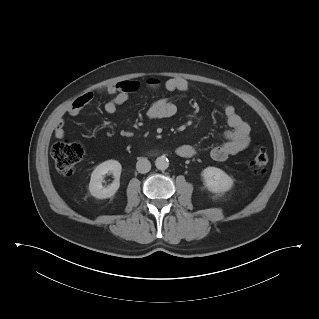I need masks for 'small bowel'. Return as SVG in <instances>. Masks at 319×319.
<instances>
[{"mask_svg": "<svg viewBox=\"0 0 319 319\" xmlns=\"http://www.w3.org/2000/svg\"><path fill=\"white\" fill-rule=\"evenodd\" d=\"M132 83L121 81L110 84L103 89V92L110 95L111 99L104 105V110L108 114H113L118 107L126 103L132 92L127 90V86ZM164 89L170 92H188L190 85L188 81L181 77H174L167 80ZM94 99L92 92H85L76 97L67 107L66 113L70 116L79 115L82 110L88 106ZM229 130L225 132L226 141L211 149V158L215 161H225L230 156L246 149L251 142L250 125L244 121L237 113L236 109L230 104H224L222 107ZM177 112V107L168 98H160L151 104L147 109V117L150 120H163L173 117ZM54 136L57 139L65 137V129L62 123L54 129ZM176 152L184 158H191L196 155V149L190 144H181Z\"/></svg>", "mask_w": 319, "mask_h": 319, "instance_id": "1", "label": "small bowel"}]
</instances>
